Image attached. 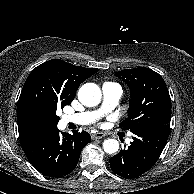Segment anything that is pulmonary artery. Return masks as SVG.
Masks as SVG:
<instances>
[{
    "label": "pulmonary artery",
    "mask_w": 194,
    "mask_h": 194,
    "mask_svg": "<svg viewBox=\"0 0 194 194\" xmlns=\"http://www.w3.org/2000/svg\"><path fill=\"white\" fill-rule=\"evenodd\" d=\"M103 103L98 110L66 115L64 121L79 125H88L96 122L102 115L114 109L122 95L121 88L113 83H104L102 86ZM130 142V139H127Z\"/></svg>",
    "instance_id": "pulmonary-artery-1"
}]
</instances>
